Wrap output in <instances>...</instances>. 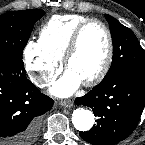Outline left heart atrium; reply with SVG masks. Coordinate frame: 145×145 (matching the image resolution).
I'll use <instances>...</instances> for the list:
<instances>
[{
    "label": "left heart atrium",
    "mask_w": 145,
    "mask_h": 145,
    "mask_svg": "<svg viewBox=\"0 0 145 145\" xmlns=\"http://www.w3.org/2000/svg\"><path fill=\"white\" fill-rule=\"evenodd\" d=\"M80 83L81 80L67 70L64 76L55 83L52 92L57 96H69L79 87Z\"/></svg>",
    "instance_id": "obj_1"
}]
</instances>
